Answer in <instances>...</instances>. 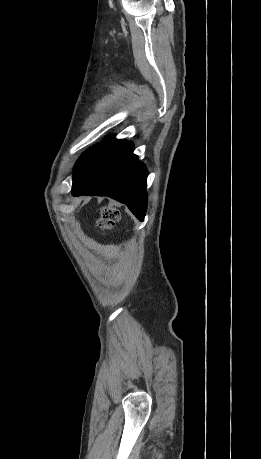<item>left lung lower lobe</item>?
I'll use <instances>...</instances> for the list:
<instances>
[{
  "instance_id": "obj_1",
  "label": "left lung lower lobe",
  "mask_w": 261,
  "mask_h": 459,
  "mask_svg": "<svg viewBox=\"0 0 261 459\" xmlns=\"http://www.w3.org/2000/svg\"><path fill=\"white\" fill-rule=\"evenodd\" d=\"M146 179L147 170L133 154L132 143L109 138L74 172L72 194L109 196L143 221Z\"/></svg>"
}]
</instances>
